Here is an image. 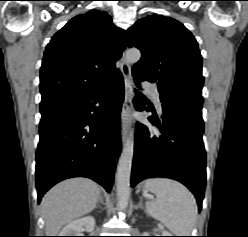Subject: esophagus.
Returning a JSON list of instances; mask_svg holds the SVG:
<instances>
[{
    "label": "esophagus",
    "mask_w": 248,
    "mask_h": 237,
    "mask_svg": "<svg viewBox=\"0 0 248 237\" xmlns=\"http://www.w3.org/2000/svg\"><path fill=\"white\" fill-rule=\"evenodd\" d=\"M121 72L124 78V88H125V97L121 110V135H122V141L124 143L128 137L131 127L130 113L132 109V96H133L131 67L125 58V53H123L121 59Z\"/></svg>",
    "instance_id": "1"
}]
</instances>
